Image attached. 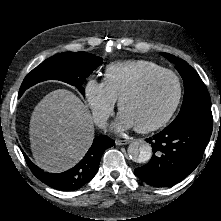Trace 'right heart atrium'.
<instances>
[{
	"instance_id": "1",
	"label": "right heart atrium",
	"mask_w": 221,
	"mask_h": 221,
	"mask_svg": "<svg viewBox=\"0 0 221 221\" xmlns=\"http://www.w3.org/2000/svg\"><path fill=\"white\" fill-rule=\"evenodd\" d=\"M84 98L98 125H104L112 115L117 99L104 81L88 79L84 84Z\"/></svg>"
}]
</instances>
